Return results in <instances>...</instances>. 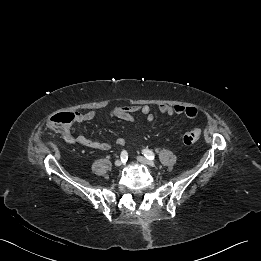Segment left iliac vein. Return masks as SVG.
Returning <instances> with one entry per match:
<instances>
[{
  "label": "left iliac vein",
  "mask_w": 261,
  "mask_h": 261,
  "mask_svg": "<svg viewBox=\"0 0 261 261\" xmlns=\"http://www.w3.org/2000/svg\"><path fill=\"white\" fill-rule=\"evenodd\" d=\"M137 160L144 164V165H147V166H150V167H156L154 162H152L151 160H148L147 158L143 157V156H138L137 157Z\"/></svg>",
  "instance_id": "1"
}]
</instances>
